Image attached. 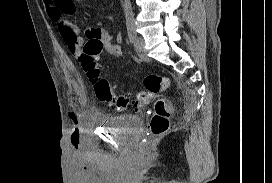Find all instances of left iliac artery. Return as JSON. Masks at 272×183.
<instances>
[{
	"instance_id": "obj_1",
	"label": "left iliac artery",
	"mask_w": 272,
	"mask_h": 183,
	"mask_svg": "<svg viewBox=\"0 0 272 183\" xmlns=\"http://www.w3.org/2000/svg\"><path fill=\"white\" fill-rule=\"evenodd\" d=\"M127 32H128V38H129L130 42H133L137 36L136 28L133 23L127 24Z\"/></svg>"
}]
</instances>
